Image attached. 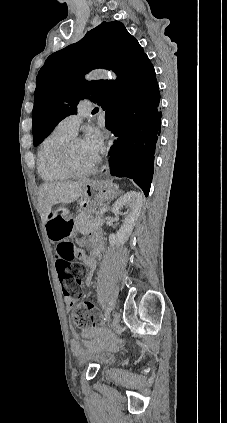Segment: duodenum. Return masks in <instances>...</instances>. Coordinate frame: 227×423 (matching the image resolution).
<instances>
[{"label":"duodenum","mask_w":227,"mask_h":423,"mask_svg":"<svg viewBox=\"0 0 227 423\" xmlns=\"http://www.w3.org/2000/svg\"><path fill=\"white\" fill-rule=\"evenodd\" d=\"M72 223H70V225H71ZM102 250H103V245H97L96 246V253H101L102 252Z\"/></svg>","instance_id":"obj_1"}]
</instances>
